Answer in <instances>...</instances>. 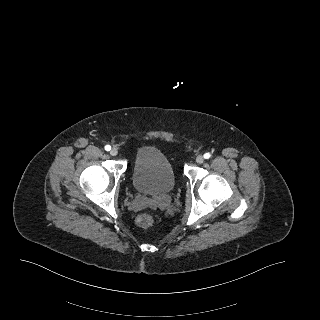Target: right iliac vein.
<instances>
[{
    "label": "right iliac vein",
    "mask_w": 320,
    "mask_h": 320,
    "mask_svg": "<svg viewBox=\"0 0 320 320\" xmlns=\"http://www.w3.org/2000/svg\"><path fill=\"white\" fill-rule=\"evenodd\" d=\"M110 154H111L112 156H116V155L118 154L117 149H116V148H112L111 151H110Z\"/></svg>",
    "instance_id": "right-iliac-vein-1"
}]
</instances>
